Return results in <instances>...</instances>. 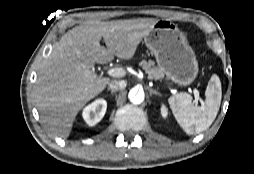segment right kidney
<instances>
[{"mask_svg":"<svg viewBox=\"0 0 254 174\" xmlns=\"http://www.w3.org/2000/svg\"><path fill=\"white\" fill-rule=\"evenodd\" d=\"M106 109L107 102L104 99H98L84 108L82 116L89 126H94L101 121Z\"/></svg>","mask_w":254,"mask_h":174,"instance_id":"right-kidney-1","label":"right kidney"}]
</instances>
